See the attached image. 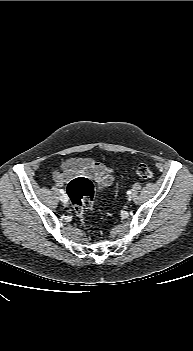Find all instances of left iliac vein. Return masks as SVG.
<instances>
[{"mask_svg":"<svg viewBox=\"0 0 193 351\" xmlns=\"http://www.w3.org/2000/svg\"><path fill=\"white\" fill-rule=\"evenodd\" d=\"M131 199H132V197H131V196H129V197H128V200H131Z\"/></svg>","mask_w":193,"mask_h":351,"instance_id":"left-iliac-vein-1","label":"left iliac vein"}]
</instances>
